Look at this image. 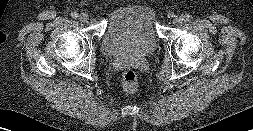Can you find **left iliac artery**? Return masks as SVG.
<instances>
[{
    "label": "left iliac artery",
    "instance_id": "44dca946",
    "mask_svg": "<svg viewBox=\"0 0 253 131\" xmlns=\"http://www.w3.org/2000/svg\"><path fill=\"white\" fill-rule=\"evenodd\" d=\"M185 22H189L192 19V15L185 14L182 18Z\"/></svg>",
    "mask_w": 253,
    "mask_h": 131
}]
</instances>
